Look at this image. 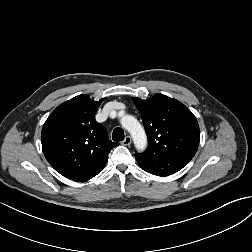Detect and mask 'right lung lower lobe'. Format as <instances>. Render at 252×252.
Returning <instances> with one entry per match:
<instances>
[{
    "label": "right lung lower lobe",
    "mask_w": 252,
    "mask_h": 252,
    "mask_svg": "<svg viewBox=\"0 0 252 252\" xmlns=\"http://www.w3.org/2000/svg\"><path fill=\"white\" fill-rule=\"evenodd\" d=\"M101 171H102V169H101V170H98V171H96V172H94V173L88 174V175H86V176L80 177V178L76 179L75 181H86V180H88V179L93 178L94 176H96V175H97L98 173H100Z\"/></svg>",
    "instance_id": "right-lung-lower-lobe-1"
}]
</instances>
